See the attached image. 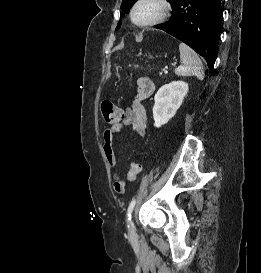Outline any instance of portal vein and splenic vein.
<instances>
[{
	"label": "portal vein and splenic vein",
	"mask_w": 261,
	"mask_h": 273,
	"mask_svg": "<svg viewBox=\"0 0 261 273\" xmlns=\"http://www.w3.org/2000/svg\"><path fill=\"white\" fill-rule=\"evenodd\" d=\"M164 71V73H168V71L167 70H163Z\"/></svg>",
	"instance_id": "18ae733b"
}]
</instances>
